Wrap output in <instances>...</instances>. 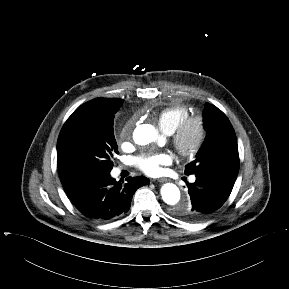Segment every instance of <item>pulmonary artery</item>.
Here are the masks:
<instances>
[{
	"instance_id": "pulmonary-artery-1",
	"label": "pulmonary artery",
	"mask_w": 289,
	"mask_h": 289,
	"mask_svg": "<svg viewBox=\"0 0 289 289\" xmlns=\"http://www.w3.org/2000/svg\"><path fill=\"white\" fill-rule=\"evenodd\" d=\"M119 171H120L119 168L115 169V173L116 174L119 173ZM191 181L194 182L195 181V177H191Z\"/></svg>"
}]
</instances>
